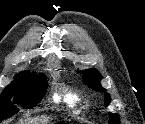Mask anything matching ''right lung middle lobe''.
Returning <instances> with one entry per match:
<instances>
[{
  "instance_id": "obj_1",
  "label": "right lung middle lobe",
  "mask_w": 145,
  "mask_h": 124,
  "mask_svg": "<svg viewBox=\"0 0 145 124\" xmlns=\"http://www.w3.org/2000/svg\"><path fill=\"white\" fill-rule=\"evenodd\" d=\"M46 90L45 75L30 73L15 78L0 97V122L19 111L15 104H20L25 108L36 106L45 95Z\"/></svg>"
}]
</instances>
